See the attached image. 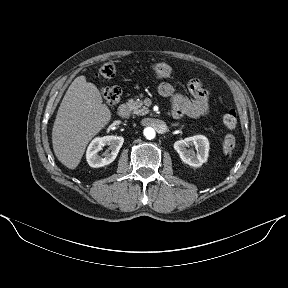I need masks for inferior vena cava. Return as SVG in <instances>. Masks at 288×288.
<instances>
[{
    "instance_id": "1",
    "label": "inferior vena cava",
    "mask_w": 288,
    "mask_h": 288,
    "mask_svg": "<svg viewBox=\"0 0 288 288\" xmlns=\"http://www.w3.org/2000/svg\"><path fill=\"white\" fill-rule=\"evenodd\" d=\"M147 125L153 127L160 134H166L169 130V125L163 119L156 120L155 118H149Z\"/></svg>"
}]
</instances>
